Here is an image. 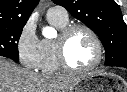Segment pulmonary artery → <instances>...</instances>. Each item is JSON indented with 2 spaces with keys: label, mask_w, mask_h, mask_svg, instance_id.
<instances>
[{
  "label": "pulmonary artery",
  "mask_w": 127,
  "mask_h": 92,
  "mask_svg": "<svg viewBox=\"0 0 127 92\" xmlns=\"http://www.w3.org/2000/svg\"><path fill=\"white\" fill-rule=\"evenodd\" d=\"M47 15L59 17L62 19H68V15L66 10L63 7L60 6H53L50 7L47 11Z\"/></svg>",
  "instance_id": "pulmonary-artery-1"
}]
</instances>
